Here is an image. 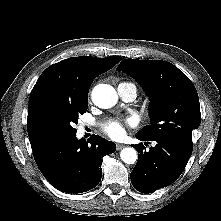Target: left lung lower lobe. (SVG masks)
Returning a JSON list of instances; mask_svg holds the SVG:
<instances>
[{
  "mask_svg": "<svg viewBox=\"0 0 221 221\" xmlns=\"http://www.w3.org/2000/svg\"><path fill=\"white\" fill-rule=\"evenodd\" d=\"M141 141H155L157 145L144 151L143 143L135 145L139 153L136 166L131 172V182L136 190L152 193L172 184L183 172L193 148L164 138L148 139L137 135Z\"/></svg>",
  "mask_w": 221,
  "mask_h": 221,
  "instance_id": "1",
  "label": "left lung lower lobe"
}]
</instances>
